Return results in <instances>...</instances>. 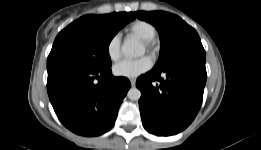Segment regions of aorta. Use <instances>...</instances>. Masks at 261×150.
I'll return each mask as SVG.
<instances>
[{
	"label": "aorta",
	"mask_w": 261,
	"mask_h": 150,
	"mask_svg": "<svg viewBox=\"0 0 261 150\" xmlns=\"http://www.w3.org/2000/svg\"><path fill=\"white\" fill-rule=\"evenodd\" d=\"M121 50L123 55L128 58L140 57L145 52V49L142 44H140L135 40H130V39L124 41ZM127 96L130 100L137 101L141 97V92L138 88L132 87L128 91Z\"/></svg>",
	"instance_id": "1"
}]
</instances>
